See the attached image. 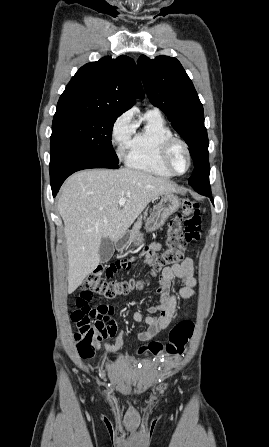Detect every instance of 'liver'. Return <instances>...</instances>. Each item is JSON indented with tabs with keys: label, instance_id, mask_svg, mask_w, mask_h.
<instances>
[{
	"label": "liver",
	"instance_id": "1",
	"mask_svg": "<svg viewBox=\"0 0 269 447\" xmlns=\"http://www.w3.org/2000/svg\"><path fill=\"white\" fill-rule=\"evenodd\" d=\"M172 192H177L173 182L129 168L84 170L68 178L58 202L67 239L68 293L99 265L103 237L118 241L151 200ZM120 198H127L124 206Z\"/></svg>",
	"mask_w": 269,
	"mask_h": 447
}]
</instances>
